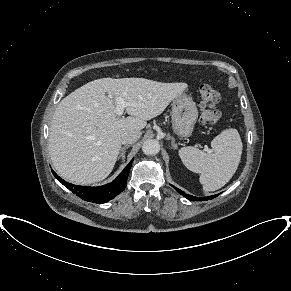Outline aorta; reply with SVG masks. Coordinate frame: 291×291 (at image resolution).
I'll list each match as a JSON object with an SVG mask.
<instances>
[{"label":"aorta","mask_w":291,"mask_h":291,"mask_svg":"<svg viewBox=\"0 0 291 291\" xmlns=\"http://www.w3.org/2000/svg\"><path fill=\"white\" fill-rule=\"evenodd\" d=\"M160 150V144L155 139L146 140L143 143L142 151L145 155H155Z\"/></svg>","instance_id":"obj_1"}]
</instances>
